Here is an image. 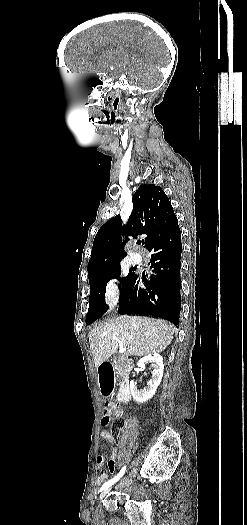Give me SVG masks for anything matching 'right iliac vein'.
Instances as JSON below:
<instances>
[{"instance_id": "63e3f726", "label": "right iliac vein", "mask_w": 247, "mask_h": 525, "mask_svg": "<svg viewBox=\"0 0 247 525\" xmlns=\"http://www.w3.org/2000/svg\"><path fill=\"white\" fill-rule=\"evenodd\" d=\"M111 490V488H107L105 490H103V492L100 494L99 496V499H102L103 497L106 496V494Z\"/></svg>"}]
</instances>
